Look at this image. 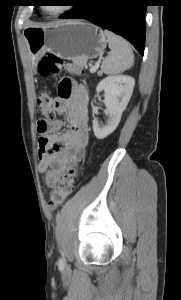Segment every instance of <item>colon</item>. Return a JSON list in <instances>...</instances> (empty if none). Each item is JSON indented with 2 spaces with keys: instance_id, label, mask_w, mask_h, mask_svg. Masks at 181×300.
<instances>
[{
  "instance_id": "colon-1",
  "label": "colon",
  "mask_w": 181,
  "mask_h": 300,
  "mask_svg": "<svg viewBox=\"0 0 181 300\" xmlns=\"http://www.w3.org/2000/svg\"><path fill=\"white\" fill-rule=\"evenodd\" d=\"M38 70L41 76L45 78L54 77L61 71L73 75H81L83 73V70L76 67L73 63L64 61L53 54H47L40 60ZM37 105L39 112L45 116L44 119L38 121L37 130L40 135H45L48 129V122L55 119L54 104L50 92H43L37 99ZM80 174V169H71L60 176L49 199V206L52 209L57 208L71 195Z\"/></svg>"
}]
</instances>
